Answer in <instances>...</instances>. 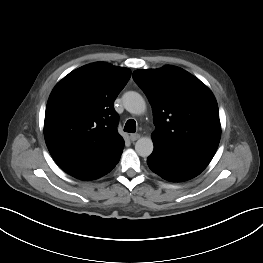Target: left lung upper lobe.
Instances as JSON below:
<instances>
[{
	"label": "left lung upper lobe",
	"instance_id": "5c2ea615",
	"mask_svg": "<svg viewBox=\"0 0 263 263\" xmlns=\"http://www.w3.org/2000/svg\"><path fill=\"white\" fill-rule=\"evenodd\" d=\"M153 108V140L216 150L221 125L210 89L187 71L164 66L132 75Z\"/></svg>",
	"mask_w": 263,
	"mask_h": 263
}]
</instances>
